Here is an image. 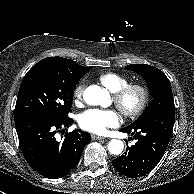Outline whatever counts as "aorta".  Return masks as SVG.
<instances>
[{
  "instance_id": "762f6f07",
  "label": "aorta",
  "mask_w": 194,
  "mask_h": 194,
  "mask_svg": "<svg viewBox=\"0 0 194 194\" xmlns=\"http://www.w3.org/2000/svg\"><path fill=\"white\" fill-rule=\"evenodd\" d=\"M108 91L97 86L91 85L84 91L83 98L90 105H104L108 100ZM124 149V143L118 139H112L108 143V151L111 154L119 155Z\"/></svg>"
}]
</instances>
